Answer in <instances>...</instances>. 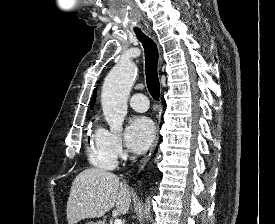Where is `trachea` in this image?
Returning a JSON list of instances; mask_svg holds the SVG:
<instances>
[{
    "label": "trachea",
    "mask_w": 275,
    "mask_h": 224,
    "mask_svg": "<svg viewBox=\"0 0 275 224\" xmlns=\"http://www.w3.org/2000/svg\"><path fill=\"white\" fill-rule=\"evenodd\" d=\"M134 31L145 50V75L149 93L155 100H159L160 83L157 72L158 48L156 43L139 28H135Z\"/></svg>",
    "instance_id": "3493384b"
}]
</instances>
